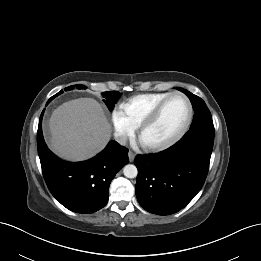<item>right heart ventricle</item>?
<instances>
[{
	"label": "right heart ventricle",
	"mask_w": 261,
	"mask_h": 261,
	"mask_svg": "<svg viewBox=\"0 0 261 261\" xmlns=\"http://www.w3.org/2000/svg\"><path fill=\"white\" fill-rule=\"evenodd\" d=\"M169 92L139 94L121 103L120 108L128 121L137 128L153 107Z\"/></svg>",
	"instance_id": "1"
}]
</instances>
